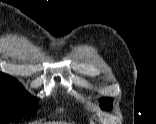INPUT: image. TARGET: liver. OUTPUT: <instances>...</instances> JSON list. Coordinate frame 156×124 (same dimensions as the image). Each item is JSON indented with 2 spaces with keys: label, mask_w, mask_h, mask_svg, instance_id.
Segmentation results:
<instances>
[{
  "label": "liver",
  "mask_w": 156,
  "mask_h": 124,
  "mask_svg": "<svg viewBox=\"0 0 156 124\" xmlns=\"http://www.w3.org/2000/svg\"><path fill=\"white\" fill-rule=\"evenodd\" d=\"M47 124H67L66 122H61V121H53V122H49Z\"/></svg>",
  "instance_id": "6515ba94"
}]
</instances>
